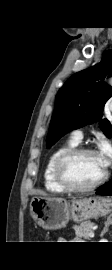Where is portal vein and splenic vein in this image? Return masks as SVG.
Wrapping results in <instances>:
<instances>
[{
  "instance_id": "obj_1",
  "label": "portal vein and splenic vein",
  "mask_w": 112,
  "mask_h": 270,
  "mask_svg": "<svg viewBox=\"0 0 112 270\" xmlns=\"http://www.w3.org/2000/svg\"><path fill=\"white\" fill-rule=\"evenodd\" d=\"M94 236H95L94 232L91 231V232L89 233V237H90V238H93Z\"/></svg>"
}]
</instances>
